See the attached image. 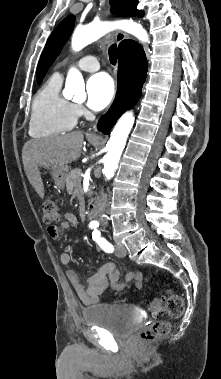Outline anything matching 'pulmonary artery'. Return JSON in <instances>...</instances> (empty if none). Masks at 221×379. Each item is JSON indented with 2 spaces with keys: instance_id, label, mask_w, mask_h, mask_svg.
I'll return each instance as SVG.
<instances>
[{
  "instance_id": "1",
  "label": "pulmonary artery",
  "mask_w": 221,
  "mask_h": 379,
  "mask_svg": "<svg viewBox=\"0 0 221 379\" xmlns=\"http://www.w3.org/2000/svg\"><path fill=\"white\" fill-rule=\"evenodd\" d=\"M76 66L83 71H88V72H94L99 70L100 68V63L98 59L92 55L85 56L81 58L77 63ZM58 75L62 76V74L57 73Z\"/></svg>"
}]
</instances>
